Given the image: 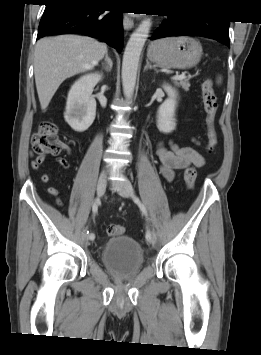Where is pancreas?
<instances>
[{
	"instance_id": "pancreas-1",
	"label": "pancreas",
	"mask_w": 261,
	"mask_h": 355,
	"mask_svg": "<svg viewBox=\"0 0 261 355\" xmlns=\"http://www.w3.org/2000/svg\"><path fill=\"white\" fill-rule=\"evenodd\" d=\"M176 85L181 86L185 91H188L190 87V83L187 79L176 82Z\"/></svg>"
}]
</instances>
